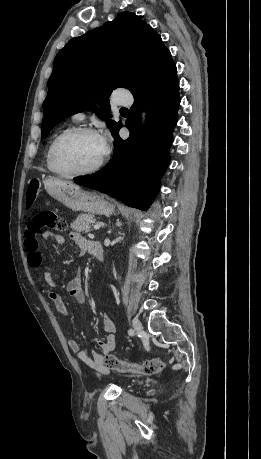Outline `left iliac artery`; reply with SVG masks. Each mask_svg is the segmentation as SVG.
I'll use <instances>...</instances> for the list:
<instances>
[{
    "label": "left iliac artery",
    "instance_id": "44dca946",
    "mask_svg": "<svg viewBox=\"0 0 261 459\" xmlns=\"http://www.w3.org/2000/svg\"><path fill=\"white\" fill-rule=\"evenodd\" d=\"M128 333H129V335H131V336L134 335V331H133L132 329H130V330L128 331Z\"/></svg>",
    "mask_w": 261,
    "mask_h": 459
}]
</instances>
